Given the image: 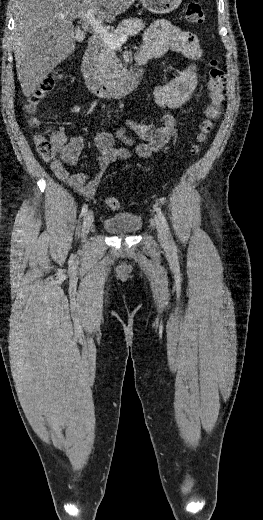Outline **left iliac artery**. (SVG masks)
<instances>
[{
    "instance_id": "1",
    "label": "left iliac artery",
    "mask_w": 263,
    "mask_h": 520,
    "mask_svg": "<svg viewBox=\"0 0 263 520\" xmlns=\"http://www.w3.org/2000/svg\"><path fill=\"white\" fill-rule=\"evenodd\" d=\"M155 209H156L159 219L161 220V223L163 224L165 230L167 231V233L169 234V236L171 238L169 226H168V223H167V220H166L164 214L162 213L160 208L156 207ZM171 243H172V246L174 247V242L172 239H171Z\"/></svg>"
}]
</instances>
